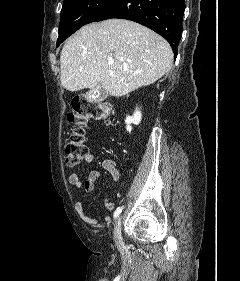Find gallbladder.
I'll use <instances>...</instances> for the list:
<instances>
[{
  "mask_svg": "<svg viewBox=\"0 0 240 281\" xmlns=\"http://www.w3.org/2000/svg\"><path fill=\"white\" fill-rule=\"evenodd\" d=\"M97 97L100 100H104L106 98V92L103 88L99 89V95Z\"/></svg>",
  "mask_w": 240,
  "mask_h": 281,
  "instance_id": "1",
  "label": "gallbladder"
}]
</instances>
